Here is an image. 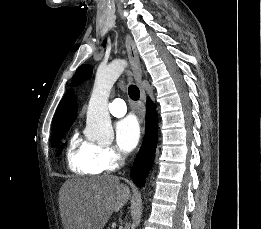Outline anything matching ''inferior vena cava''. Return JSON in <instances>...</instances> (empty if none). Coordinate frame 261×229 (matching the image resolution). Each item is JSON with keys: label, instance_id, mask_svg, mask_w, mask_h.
<instances>
[{"label": "inferior vena cava", "instance_id": "obj_1", "mask_svg": "<svg viewBox=\"0 0 261 229\" xmlns=\"http://www.w3.org/2000/svg\"><path fill=\"white\" fill-rule=\"evenodd\" d=\"M120 165H124V163H120Z\"/></svg>", "mask_w": 261, "mask_h": 229}]
</instances>
